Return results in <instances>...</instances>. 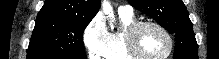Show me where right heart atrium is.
<instances>
[{
  "mask_svg": "<svg viewBox=\"0 0 219 59\" xmlns=\"http://www.w3.org/2000/svg\"><path fill=\"white\" fill-rule=\"evenodd\" d=\"M83 44L91 59H100L106 50L109 31L101 16H95L83 32Z\"/></svg>",
  "mask_w": 219,
  "mask_h": 59,
  "instance_id": "obj_1",
  "label": "right heart atrium"
}]
</instances>
